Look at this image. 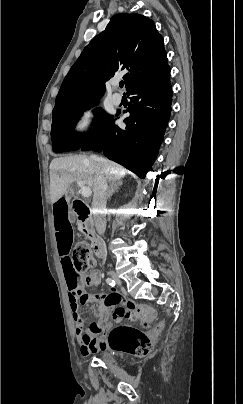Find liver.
<instances>
[{
    "instance_id": "6515ba94",
    "label": "liver",
    "mask_w": 243,
    "mask_h": 404,
    "mask_svg": "<svg viewBox=\"0 0 243 404\" xmlns=\"http://www.w3.org/2000/svg\"><path fill=\"white\" fill-rule=\"evenodd\" d=\"M100 164L103 176L108 182L121 180L127 170L110 162L106 158H92V156H67V158H54L50 164V198L52 204L60 200L68 190L69 184L81 180L94 192V170Z\"/></svg>"
}]
</instances>
